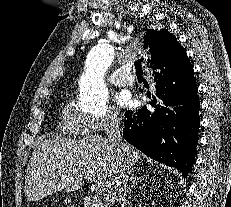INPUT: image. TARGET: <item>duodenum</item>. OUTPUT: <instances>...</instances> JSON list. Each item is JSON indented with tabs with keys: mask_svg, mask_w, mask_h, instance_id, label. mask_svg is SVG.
<instances>
[{
	"mask_svg": "<svg viewBox=\"0 0 231 207\" xmlns=\"http://www.w3.org/2000/svg\"><path fill=\"white\" fill-rule=\"evenodd\" d=\"M83 206L84 207H106V206H100L95 198L92 196H85L83 198Z\"/></svg>",
	"mask_w": 231,
	"mask_h": 207,
	"instance_id": "duodenum-1",
	"label": "duodenum"
}]
</instances>
